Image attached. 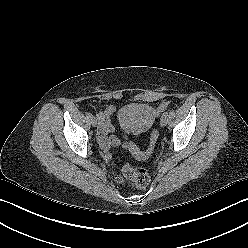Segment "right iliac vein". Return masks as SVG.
<instances>
[{"label": "right iliac vein", "instance_id": "obj_1", "mask_svg": "<svg viewBox=\"0 0 248 248\" xmlns=\"http://www.w3.org/2000/svg\"><path fill=\"white\" fill-rule=\"evenodd\" d=\"M90 122H91L92 126H94V127L97 126V119L94 116L91 117Z\"/></svg>", "mask_w": 248, "mask_h": 248}]
</instances>
